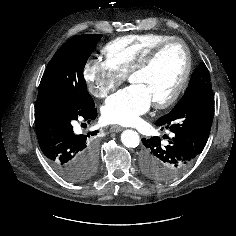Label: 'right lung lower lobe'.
Returning a JSON list of instances; mask_svg holds the SVG:
<instances>
[{
	"label": "right lung lower lobe",
	"mask_w": 236,
	"mask_h": 236,
	"mask_svg": "<svg viewBox=\"0 0 236 236\" xmlns=\"http://www.w3.org/2000/svg\"><path fill=\"white\" fill-rule=\"evenodd\" d=\"M94 106L76 109L50 100H39L35 104L39 146L57 173L71 182H81L82 167L97 158L98 131L76 134L73 130L75 120L83 119L89 123L96 118Z\"/></svg>",
	"instance_id": "98d812e1"
}]
</instances>
